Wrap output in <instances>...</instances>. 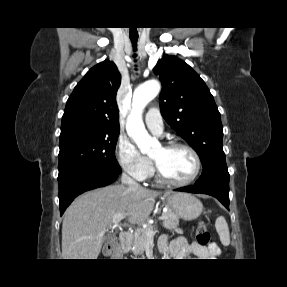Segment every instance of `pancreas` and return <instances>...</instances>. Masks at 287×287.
<instances>
[{
  "label": "pancreas",
  "instance_id": "obj_1",
  "mask_svg": "<svg viewBox=\"0 0 287 287\" xmlns=\"http://www.w3.org/2000/svg\"><path fill=\"white\" fill-rule=\"evenodd\" d=\"M163 215L166 217L163 220V226L166 229L172 232H176L178 234L183 233L182 229L178 228L179 217L177 215H175L170 210H167V212H164ZM151 228L152 226L148 224L146 228H140L134 232L132 240H133L135 254H143V252L145 251L147 241L149 240V236L146 234V231L150 230Z\"/></svg>",
  "mask_w": 287,
  "mask_h": 287
}]
</instances>
